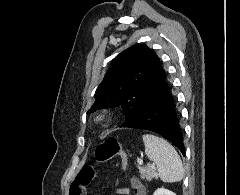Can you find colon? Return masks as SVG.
Wrapping results in <instances>:
<instances>
[{"mask_svg":"<svg viewBox=\"0 0 240 195\" xmlns=\"http://www.w3.org/2000/svg\"><path fill=\"white\" fill-rule=\"evenodd\" d=\"M119 158V170L122 173L128 170L127 153L121 150L120 143L114 138H108L102 143L96 151V157L100 161L111 159L114 156Z\"/></svg>","mask_w":240,"mask_h":195,"instance_id":"obj_1","label":"colon"}]
</instances>
